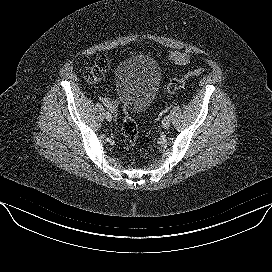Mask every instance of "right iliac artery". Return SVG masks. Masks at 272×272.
Masks as SVG:
<instances>
[{"instance_id": "1", "label": "right iliac artery", "mask_w": 272, "mask_h": 272, "mask_svg": "<svg viewBox=\"0 0 272 272\" xmlns=\"http://www.w3.org/2000/svg\"><path fill=\"white\" fill-rule=\"evenodd\" d=\"M103 115H105L106 117H109L110 112L108 110H103Z\"/></svg>"}]
</instances>
